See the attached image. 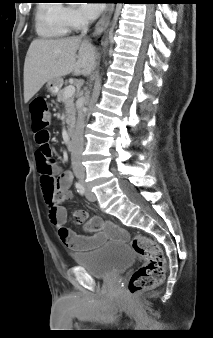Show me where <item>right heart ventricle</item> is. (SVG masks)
<instances>
[{"label": "right heart ventricle", "instance_id": "e07e8e85", "mask_svg": "<svg viewBox=\"0 0 213 338\" xmlns=\"http://www.w3.org/2000/svg\"><path fill=\"white\" fill-rule=\"evenodd\" d=\"M62 14L61 5L40 4L37 12V32L43 37L50 38L66 35L70 28L63 21Z\"/></svg>", "mask_w": 213, "mask_h": 338}]
</instances>
